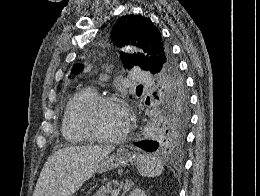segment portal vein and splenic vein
I'll return each instance as SVG.
<instances>
[{"label": "portal vein and splenic vein", "instance_id": "obj_1", "mask_svg": "<svg viewBox=\"0 0 260 196\" xmlns=\"http://www.w3.org/2000/svg\"><path fill=\"white\" fill-rule=\"evenodd\" d=\"M120 190H121V187L117 186L116 190H115V193H113L112 196H118V193H120Z\"/></svg>", "mask_w": 260, "mask_h": 196}]
</instances>
